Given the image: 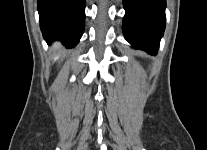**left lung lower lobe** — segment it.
Returning <instances> with one entry per match:
<instances>
[{
	"instance_id": "1",
	"label": "left lung lower lobe",
	"mask_w": 207,
	"mask_h": 150,
	"mask_svg": "<svg viewBox=\"0 0 207 150\" xmlns=\"http://www.w3.org/2000/svg\"><path fill=\"white\" fill-rule=\"evenodd\" d=\"M123 5L126 40L155 55L165 30L166 0H123Z\"/></svg>"
}]
</instances>
